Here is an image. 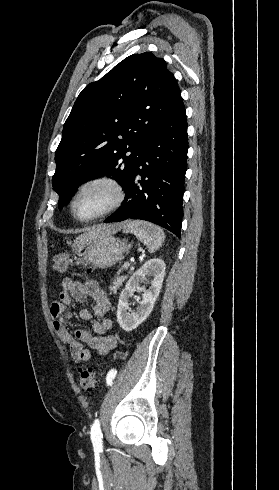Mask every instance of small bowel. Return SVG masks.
Listing matches in <instances>:
<instances>
[{"mask_svg": "<svg viewBox=\"0 0 279 490\" xmlns=\"http://www.w3.org/2000/svg\"><path fill=\"white\" fill-rule=\"evenodd\" d=\"M61 287L59 300L52 302L50 314L53 329L57 337L68 346L73 360L78 364L91 360V351L84 348V344L100 355L114 349L116 338L110 333L113 322L107 316L111 307V300L98 283L93 280L82 282L64 278L61 281ZM88 299L93 302L92 309H81L79 318L90 322L92 329L80 328L72 334L66 326V322L70 318L67 307L71 305L73 300L85 302ZM94 317L98 320H95Z\"/></svg>", "mask_w": 279, "mask_h": 490, "instance_id": "small-bowel-1", "label": "small bowel"}]
</instances>
